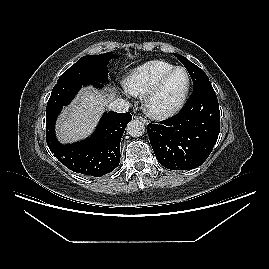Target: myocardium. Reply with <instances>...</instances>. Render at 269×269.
<instances>
[{
    "label": "myocardium",
    "instance_id": "obj_1",
    "mask_svg": "<svg viewBox=\"0 0 269 269\" xmlns=\"http://www.w3.org/2000/svg\"><path fill=\"white\" fill-rule=\"evenodd\" d=\"M178 71H183L186 74L187 78L186 87L182 95L180 96L177 102H175L173 105L167 108L159 109L155 107L154 102L158 94L160 93L166 82L171 78V76ZM190 89H191V76L188 70L182 66L174 67L170 71L165 73L163 76H161L157 80V82L144 94L143 97L144 110L150 117L154 119L163 120L172 117L173 115L178 113L185 105Z\"/></svg>",
    "mask_w": 269,
    "mask_h": 269
}]
</instances>
